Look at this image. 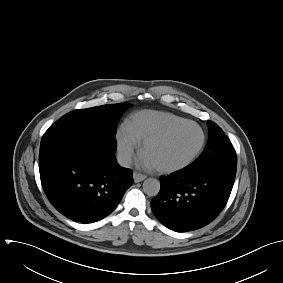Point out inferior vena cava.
<instances>
[{
    "label": "inferior vena cava",
    "instance_id": "1",
    "mask_svg": "<svg viewBox=\"0 0 283 283\" xmlns=\"http://www.w3.org/2000/svg\"><path fill=\"white\" fill-rule=\"evenodd\" d=\"M117 161L123 167H130L132 163L131 154L127 152H120L117 154Z\"/></svg>",
    "mask_w": 283,
    "mask_h": 283
}]
</instances>
